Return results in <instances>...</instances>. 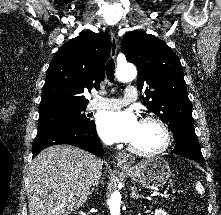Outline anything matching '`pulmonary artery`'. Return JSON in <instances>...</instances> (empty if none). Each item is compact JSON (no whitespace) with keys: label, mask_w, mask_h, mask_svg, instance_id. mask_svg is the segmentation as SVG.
<instances>
[{"label":"pulmonary artery","mask_w":221,"mask_h":215,"mask_svg":"<svg viewBox=\"0 0 221 215\" xmlns=\"http://www.w3.org/2000/svg\"><path fill=\"white\" fill-rule=\"evenodd\" d=\"M137 99V89L128 86L122 98L96 97L89 103V108L95 109H117Z\"/></svg>","instance_id":"pulmonary-artery-1"}]
</instances>
